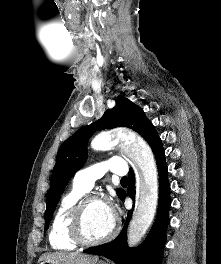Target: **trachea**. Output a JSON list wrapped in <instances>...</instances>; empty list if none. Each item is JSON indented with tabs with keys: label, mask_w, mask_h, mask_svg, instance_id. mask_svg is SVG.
Segmentation results:
<instances>
[{
	"label": "trachea",
	"mask_w": 221,
	"mask_h": 264,
	"mask_svg": "<svg viewBox=\"0 0 221 264\" xmlns=\"http://www.w3.org/2000/svg\"><path fill=\"white\" fill-rule=\"evenodd\" d=\"M127 181H128V179H127L126 176L125 177H122L121 182H127Z\"/></svg>",
	"instance_id": "obj_1"
}]
</instances>
